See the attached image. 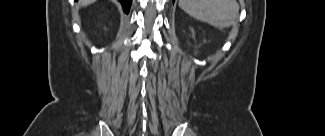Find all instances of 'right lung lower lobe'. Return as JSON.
Instances as JSON below:
<instances>
[{
    "mask_svg": "<svg viewBox=\"0 0 325 136\" xmlns=\"http://www.w3.org/2000/svg\"><path fill=\"white\" fill-rule=\"evenodd\" d=\"M118 1L122 4L124 12L128 14L131 7L132 0H118Z\"/></svg>",
    "mask_w": 325,
    "mask_h": 136,
    "instance_id": "98d812e1",
    "label": "right lung lower lobe"
}]
</instances>
